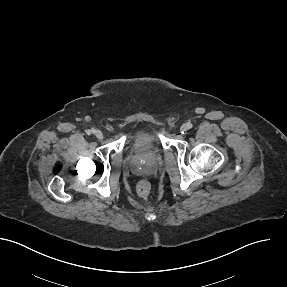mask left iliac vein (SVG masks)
I'll use <instances>...</instances> for the list:
<instances>
[{"label": "left iliac vein", "instance_id": "4c4485c4", "mask_svg": "<svg viewBox=\"0 0 287 287\" xmlns=\"http://www.w3.org/2000/svg\"><path fill=\"white\" fill-rule=\"evenodd\" d=\"M180 130H181V132H186V131L188 130L187 124H183V125L180 127Z\"/></svg>", "mask_w": 287, "mask_h": 287}]
</instances>
